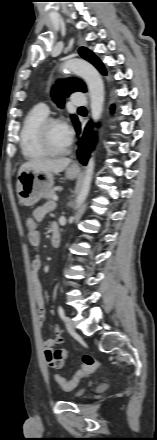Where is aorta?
<instances>
[{
  "label": "aorta",
  "instance_id": "1",
  "mask_svg": "<svg viewBox=\"0 0 157 440\" xmlns=\"http://www.w3.org/2000/svg\"><path fill=\"white\" fill-rule=\"evenodd\" d=\"M62 69L75 73L76 75L82 77L86 82L89 90L91 117L93 121L97 123L100 119L104 102V87L99 72L90 63L81 59H75L65 62L62 66ZM94 166L95 162L94 157L92 156L89 159L86 167L82 185L76 199L75 208H78L88 196Z\"/></svg>",
  "mask_w": 157,
  "mask_h": 440
}]
</instances>
